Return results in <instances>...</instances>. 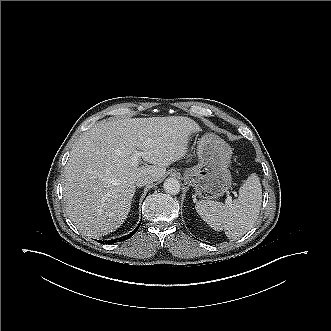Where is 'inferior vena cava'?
Returning <instances> with one entry per match:
<instances>
[{"instance_id":"obj_1","label":"inferior vena cava","mask_w":331,"mask_h":331,"mask_svg":"<svg viewBox=\"0 0 331 331\" xmlns=\"http://www.w3.org/2000/svg\"><path fill=\"white\" fill-rule=\"evenodd\" d=\"M153 182V177L150 175H141L135 180V185L137 187H142L148 183Z\"/></svg>"}]
</instances>
